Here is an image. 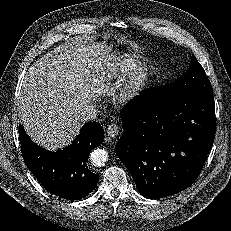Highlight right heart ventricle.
<instances>
[{"mask_svg":"<svg viewBox=\"0 0 231 231\" xmlns=\"http://www.w3.org/2000/svg\"><path fill=\"white\" fill-rule=\"evenodd\" d=\"M141 61L134 57H121L99 65L92 73V80L96 85H105L121 80L133 72Z\"/></svg>","mask_w":231,"mask_h":231,"instance_id":"right-heart-ventricle-1","label":"right heart ventricle"}]
</instances>
